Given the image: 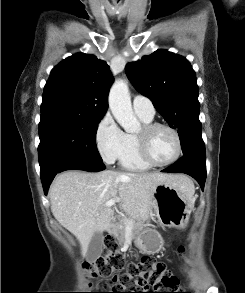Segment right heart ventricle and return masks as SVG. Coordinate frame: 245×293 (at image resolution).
I'll return each mask as SVG.
<instances>
[{"label":"right heart ventricle","mask_w":245,"mask_h":293,"mask_svg":"<svg viewBox=\"0 0 245 293\" xmlns=\"http://www.w3.org/2000/svg\"><path fill=\"white\" fill-rule=\"evenodd\" d=\"M144 124L152 122L153 118L137 115ZM120 166L129 171H146L151 168L139 156L137 151L136 135L127 134V146L119 158Z\"/></svg>","instance_id":"1"}]
</instances>
